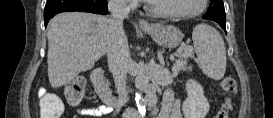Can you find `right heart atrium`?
I'll return each mask as SVG.
<instances>
[{
    "label": "right heart atrium",
    "instance_id": "d8ad5b80",
    "mask_svg": "<svg viewBox=\"0 0 273 118\" xmlns=\"http://www.w3.org/2000/svg\"><path fill=\"white\" fill-rule=\"evenodd\" d=\"M125 3L127 4V6H130L132 4V1H126Z\"/></svg>",
    "mask_w": 273,
    "mask_h": 118
}]
</instances>
